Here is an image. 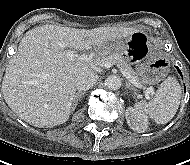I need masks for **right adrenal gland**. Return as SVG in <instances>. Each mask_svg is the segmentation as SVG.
<instances>
[{
    "mask_svg": "<svg viewBox=\"0 0 190 165\" xmlns=\"http://www.w3.org/2000/svg\"><path fill=\"white\" fill-rule=\"evenodd\" d=\"M85 94V92H77L75 93L73 104H72V111L75 110L78 102L80 101L81 97Z\"/></svg>",
    "mask_w": 190,
    "mask_h": 165,
    "instance_id": "right-adrenal-gland-1",
    "label": "right adrenal gland"
}]
</instances>
